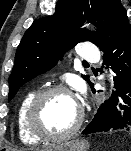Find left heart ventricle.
Segmentation results:
<instances>
[{"instance_id": "obj_1", "label": "left heart ventricle", "mask_w": 131, "mask_h": 151, "mask_svg": "<svg viewBox=\"0 0 131 151\" xmlns=\"http://www.w3.org/2000/svg\"><path fill=\"white\" fill-rule=\"evenodd\" d=\"M78 106L70 96L56 93L42 103L39 113V125L48 133L59 134L68 130L76 121Z\"/></svg>"}]
</instances>
